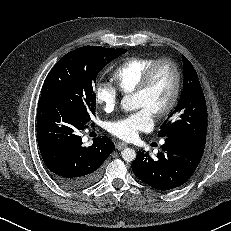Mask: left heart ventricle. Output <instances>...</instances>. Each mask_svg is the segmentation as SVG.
Returning <instances> with one entry per match:
<instances>
[{"label": "left heart ventricle", "mask_w": 231, "mask_h": 231, "mask_svg": "<svg viewBox=\"0 0 231 231\" xmlns=\"http://www.w3.org/2000/svg\"><path fill=\"white\" fill-rule=\"evenodd\" d=\"M173 86L174 74L172 69L168 65H160L156 69L146 93L134 95L136 108H147L153 112L164 107L171 96Z\"/></svg>", "instance_id": "obj_1"}]
</instances>
